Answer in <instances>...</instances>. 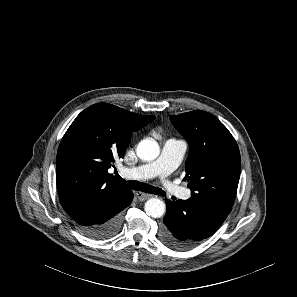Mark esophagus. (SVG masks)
Segmentation results:
<instances>
[{"instance_id": "1", "label": "esophagus", "mask_w": 297, "mask_h": 297, "mask_svg": "<svg viewBox=\"0 0 297 297\" xmlns=\"http://www.w3.org/2000/svg\"><path fill=\"white\" fill-rule=\"evenodd\" d=\"M136 198L139 200V201H145L151 197H153L152 194H148V193H145V192H142V191H138L136 192L135 194Z\"/></svg>"}]
</instances>
